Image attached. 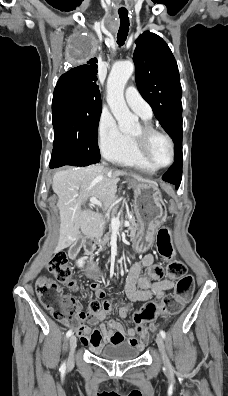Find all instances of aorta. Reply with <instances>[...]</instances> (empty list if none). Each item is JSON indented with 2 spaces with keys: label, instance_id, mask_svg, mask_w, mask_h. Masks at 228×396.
Listing matches in <instances>:
<instances>
[{
  "label": "aorta",
  "instance_id": "obj_1",
  "mask_svg": "<svg viewBox=\"0 0 228 396\" xmlns=\"http://www.w3.org/2000/svg\"><path fill=\"white\" fill-rule=\"evenodd\" d=\"M133 72L132 61L118 62L113 65L107 79V103L123 133L133 131L138 125V117L130 112L124 99L125 85Z\"/></svg>",
  "mask_w": 228,
  "mask_h": 396
}]
</instances>
